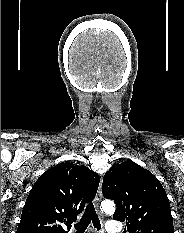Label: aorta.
Wrapping results in <instances>:
<instances>
[{
	"instance_id": "obj_1",
	"label": "aorta",
	"mask_w": 184,
	"mask_h": 233,
	"mask_svg": "<svg viewBox=\"0 0 184 233\" xmlns=\"http://www.w3.org/2000/svg\"><path fill=\"white\" fill-rule=\"evenodd\" d=\"M101 209L102 211H104L105 213L107 214H111L114 212L115 210V207H114V203L110 200H106V201H103L101 203Z\"/></svg>"
}]
</instances>
